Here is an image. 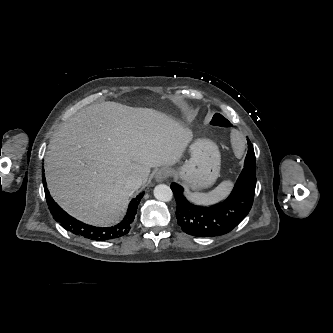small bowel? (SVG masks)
<instances>
[{
    "label": "small bowel",
    "instance_id": "obj_1",
    "mask_svg": "<svg viewBox=\"0 0 333 333\" xmlns=\"http://www.w3.org/2000/svg\"><path fill=\"white\" fill-rule=\"evenodd\" d=\"M230 141L233 143L234 153L238 158L245 156L243 138L239 133H234L230 136Z\"/></svg>",
    "mask_w": 333,
    "mask_h": 333
}]
</instances>
